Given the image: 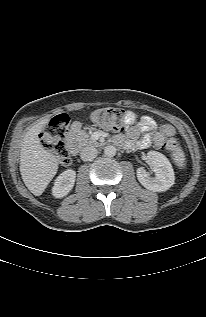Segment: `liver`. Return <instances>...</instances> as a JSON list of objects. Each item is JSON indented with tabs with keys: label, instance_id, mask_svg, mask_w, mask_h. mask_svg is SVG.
Returning a JSON list of instances; mask_svg holds the SVG:
<instances>
[{
	"label": "liver",
	"instance_id": "1",
	"mask_svg": "<svg viewBox=\"0 0 206 317\" xmlns=\"http://www.w3.org/2000/svg\"><path fill=\"white\" fill-rule=\"evenodd\" d=\"M49 120L43 119L30 128L21 144L20 173L24 184L35 196L44 192L58 170L57 157L45 150L38 137Z\"/></svg>",
	"mask_w": 206,
	"mask_h": 317
}]
</instances>
